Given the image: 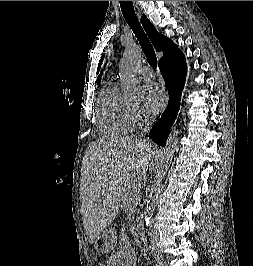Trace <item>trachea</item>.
Segmentation results:
<instances>
[{"instance_id":"3493384b","label":"trachea","mask_w":253,"mask_h":266,"mask_svg":"<svg viewBox=\"0 0 253 266\" xmlns=\"http://www.w3.org/2000/svg\"><path fill=\"white\" fill-rule=\"evenodd\" d=\"M119 3L122 10V14L130 28L133 30L135 36L137 37L148 63L153 68H157V57L154 48L137 19L133 2L119 1Z\"/></svg>"}]
</instances>
